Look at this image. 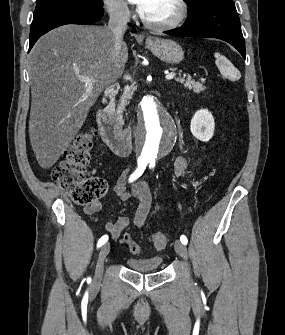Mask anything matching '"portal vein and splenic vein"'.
Masks as SVG:
<instances>
[{"instance_id": "obj_1", "label": "portal vein and splenic vein", "mask_w": 285, "mask_h": 335, "mask_svg": "<svg viewBox=\"0 0 285 335\" xmlns=\"http://www.w3.org/2000/svg\"><path fill=\"white\" fill-rule=\"evenodd\" d=\"M166 76V80H172V78H175L176 74H174V72H171V74H168V72H165ZM80 82H85V84H93V82H95V78H93V76H81V78H79ZM125 80H131L130 76H125Z\"/></svg>"}]
</instances>
